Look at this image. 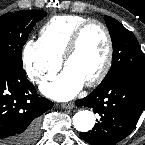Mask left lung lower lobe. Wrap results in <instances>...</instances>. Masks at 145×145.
I'll list each match as a JSON object with an SVG mask.
<instances>
[{
    "label": "left lung lower lobe",
    "mask_w": 145,
    "mask_h": 145,
    "mask_svg": "<svg viewBox=\"0 0 145 145\" xmlns=\"http://www.w3.org/2000/svg\"><path fill=\"white\" fill-rule=\"evenodd\" d=\"M77 106L92 108L100 119L80 137L92 145H113L134 129L145 106V78L123 75L99 85Z\"/></svg>",
    "instance_id": "left-lung-lower-lobe-1"
}]
</instances>
